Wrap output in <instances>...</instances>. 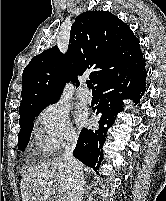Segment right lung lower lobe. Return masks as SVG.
Instances as JSON below:
<instances>
[{
  "label": "right lung lower lobe",
  "mask_w": 166,
  "mask_h": 201,
  "mask_svg": "<svg viewBox=\"0 0 166 201\" xmlns=\"http://www.w3.org/2000/svg\"><path fill=\"white\" fill-rule=\"evenodd\" d=\"M145 58L136 64L107 75L96 87L100 103L96 114L101 113L97 130L82 129L73 156L97 171L102 160V146L108 129L114 124L117 113L123 110L122 100L130 98L137 104L146 90Z\"/></svg>",
  "instance_id": "right-lung-lower-lobe-1"
}]
</instances>
